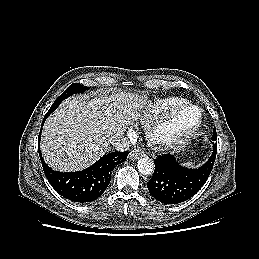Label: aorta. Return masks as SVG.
<instances>
[{
	"mask_svg": "<svg viewBox=\"0 0 259 259\" xmlns=\"http://www.w3.org/2000/svg\"><path fill=\"white\" fill-rule=\"evenodd\" d=\"M137 168L141 174L150 175L154 172L155 166L154 162L150 158L143 157L138 160Z\"/></svg>",
	"mask_w": 259,
	"mask_h": 259,
	"instance_id": "aorta-1",
	"label": "aorta"
}]
</instances>
